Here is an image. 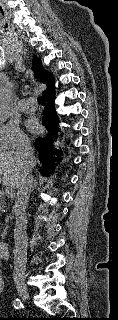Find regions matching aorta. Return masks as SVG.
<instances>
[{
    "mask_svg": "<svg viewBox=\"0 0 118 320\" xmlns=\"http://www.w3.org/2000/svg\"><path fill=\"white\" fill-rule=\"evenodd\" d=\"M12 93L9 87L0 89V119L7 118L10 110Z\"/></svg>",
    "mask_w": 118,
    "mask_h": 320,
    "instance_id": "aorta-1",
    "label": "aorta"
}]
</instances>
